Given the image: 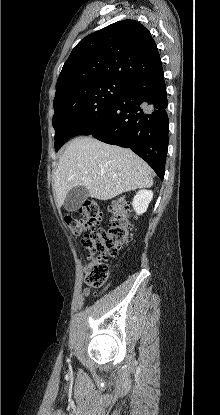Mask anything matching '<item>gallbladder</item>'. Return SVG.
I'll return each instance as SVG.
<instances>
[{
    "label": "gallbladder",
    "mask_w": 220,
    "mask_h": 415,
    "mask_svg": "<svg viewBox=\"0 0 220 415\" xmlns=\"http://www.w3.org/2000/svg\"><path fill=\"white\" fill-rule=\"evenodd\" d=\"M88 197L89 192L84 186H76L68 192L63 206L68 212L76 211Z\"/></svg>",
    "instance_id": "bac80fb5"
}]
</instances>
